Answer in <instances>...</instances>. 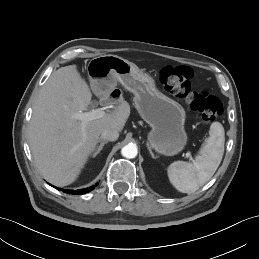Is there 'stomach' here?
Listing matches in <instances>:
<instances>
[{
    "label": "stomach",
    "instance_id": "1",
    "mask_svg": "<svg viewBox=\"0 0 259 259\" xmlns=\"http://www.w3.org/2000/svg\"><path fill=\"white\" fill-rule=\"evenodd\" d=\"M87 73L97 94L111 91L119 82L134 95V106L150 125L148 145L156 152L173 156L187 144L184 128L185 110L161 93L154 79L134 63L117 55H103L90 60Z\"/></svg>",
    "mask_w": 259,
    "mask_h": 259
}]
</instances>
